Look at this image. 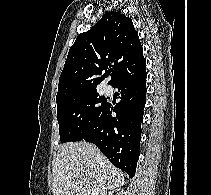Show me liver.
<instances>
[{
  "instance_id": "6515ba94",
  "label": "liver",
  "mask_w": 211,
  "mask_h": 195,
  "mask_svg": "<svg viewBox=\"0 0 211 195\" xmlns=\"http://www.w3.org/2000/svg\"><path fill=\"white\" fill-rule=\"evenodd\" d=\"M52 175L53 195H104L125 184L123 172L85 141L60 146Z\"/></svg>"
}]
</instances>
